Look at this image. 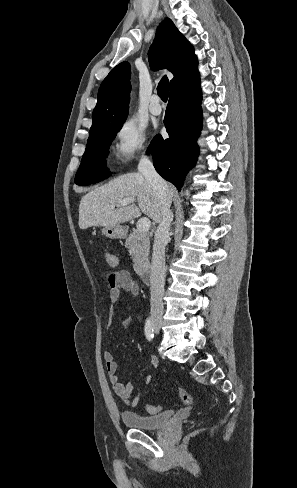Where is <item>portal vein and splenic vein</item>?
<instances>
[{
	"label": "portal vein and splenic vein",
	"instance_id": "obj_1",
	"mask_svg": "<svg viewBox=\"0 0 297 488\" xmlns=\"http://www.w3.org/2000/svg\"><path fill=\"white\" fill-rule=\"evenodd\" d=\"M135 201L134 198H125L122 201L119 202V204L116 205H111L110 208L114 209L115 207L118 206H127L128 204H131ZM151 227V221L148 218H141L139 219L137 223V230L140 232H148Z\"/></svg>",
	"mask_w": 297,
	"mask_h": 488
}]
</instances>
